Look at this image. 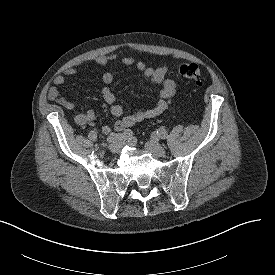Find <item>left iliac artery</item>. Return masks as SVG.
I'll return each instance as SVG.
<instances>
[{"label":"left iliac artery","mask_w":275,"mask_h":275,"mask_svg":"<svg viewBox=\"0 0 275 275\" xmlns=\"http://www.w3.org/2000/svg\"><path fill=\"white\" fill-rule=\"evenodd\" d=\"M167 135L168 134H167L166 130L163 127L157 129V131H155L154 134H153L154 137H159L161 139H166Z\"/></svg>","instance_id":"44dca946"}]
</instances>
